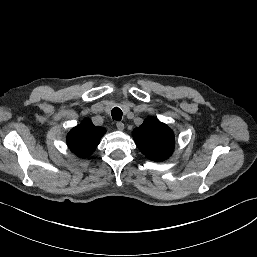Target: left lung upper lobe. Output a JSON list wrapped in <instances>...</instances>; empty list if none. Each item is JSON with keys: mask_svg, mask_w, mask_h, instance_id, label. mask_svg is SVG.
<instances>
[{"mask_svg": "<svg viewBox=\"0 0 257 257\" xmlns=\"http://www.w3.org/2000/svg\"><path fill=\"white\" fill-rule=\"evenodd\" d=\"M132 135L140 151L153 161H163L173 153V131L154 117L147 118Z\"/></svg>", "mask_w": 257, "mask_h": 257, "instance_id": "1", "label": "left lung upper lobe"}]
</instances>
